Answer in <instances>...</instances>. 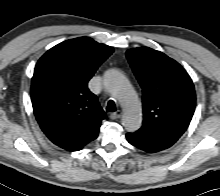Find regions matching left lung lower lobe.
Instances as JSON below:
<instances>
[{
	"label": "left lung lower lobe",
	"instance_id": "obj_1",
	"mask_svg": "<svg viewBox=\"0 0 220 196\" xmlns=\"http://www.w3.org/2000/svg\"><path fill=\"white\" fill-rule=\"evenodd\" d=\"M127 140L130 144L134 145L135 147L144 150L148 153H155L162 151L161 149L157 148L156 146L150 144L147 140L143 137L137 135L136 133H127L126 134Z\"/></svg>",
	"mask_w": 220,
	"mask_h": 196
}]
</instances>
